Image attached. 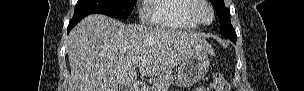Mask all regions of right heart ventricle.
<instances>
[{
    "label": "right heart ventricle",
    "instance_id": "e07e8e85",
    "mask_svg": "<svg viewBox=\"0 0 304 91\" xmlns=\"http://www.w3.org/2000/svg\"><path fill=\"white\" fill-rule=\"evenodd\" d=\"M193 7V0L148 1V13L152 24L177 30H193L198 27L191 16Z\"/></svg>",
    "mask_w": 304,
    "mask_h": 91
}]
</instances>
